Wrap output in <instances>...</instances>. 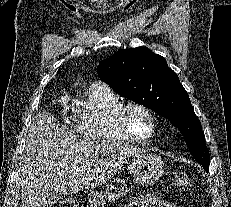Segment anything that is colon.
<instances>
[{"label": "colon", "instance_id": "obj_1", "mask_svg": "<svg viewBox=\"0 0 231 207\" xmlns=\"http://www.w3.org/2000/svg\"><path fill=\"white\" fill-rule=\"evenodd\" d=\"M175 183L182 188L191 186L190 176L185 171H176L173 174ZM49 207H76L73 200L67 199L50 205Z\"/></svg>", "mask_w": 231, "mask_h": 207}]
</instances>
